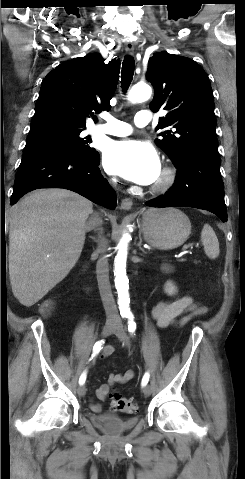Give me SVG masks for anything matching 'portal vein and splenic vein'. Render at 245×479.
<instances>
[{
  "mask_svg": "<svg viewBox=\"0 0 245 479\" xmlns=\"http://www.w3.org/2000/svg\"><path fill=\"white\" fill-rule=\"evenodd\" d=\"M189 247H190L189 245H185L183 247V250H182L181 254L184 255V254L188 253L189 252Z\"/></svg>",
  "mask_w": 245,
  "mask_h": 479,
  "instance_id": "portal-vein-and-splenic-vein-1",
  "label": "portal vein and splenic vein"
}]
</instances>
